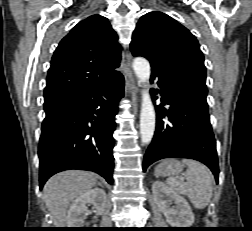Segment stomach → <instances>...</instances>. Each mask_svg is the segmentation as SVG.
Segmentation results:
<instances>
[{"mask_svg":"<svg viewBox=\"0 0 252 231\" xmlns=\"http://www.w3.org/2000/svg\"><path fill=\"white\" fill-rule=\"evenodd\" d=\"M183 165L175 159H167L155 168V175L162 177H173L181 173Z\"/></svg>","mask_w":252,"mask_h":231,"instance_id":"obj_1","label":"stomach"}]
</instances>
